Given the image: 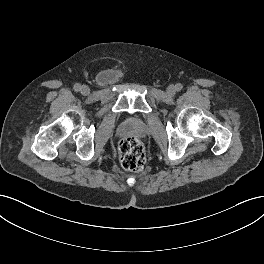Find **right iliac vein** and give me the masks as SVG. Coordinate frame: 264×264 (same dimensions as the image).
Instances as JSON below:
<instances>
[{"label": "right iliac vein", "instance_id": "obj_1", "mask_svg": "<svg viewBox=\"0 0 264 264\" xmlns=\"http://www.w3.org/2000/svg\"><path fill=\"white\" fill-rule=\"evenodd\" d=\"M80 90L83 95H88L90 93V89L86 85H83Z\"/></svg>", "mask_w": 264, "mask_h": 264}]
</instances>
